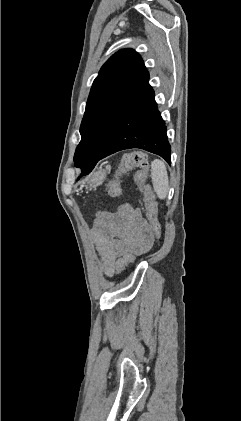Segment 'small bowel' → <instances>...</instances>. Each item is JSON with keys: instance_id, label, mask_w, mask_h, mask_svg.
I'll use <instances>...</instances> for the list:
<instances>
[{"instance_id": "c3829d8e", "label": "small bowel", "mask_w": 241, "mask_h": 421, "mask_svg": "<svg viewBox=\"0 0 241 421\" xmlns=\"http://www.w3.org/2000/svg\"><path fill=\"white\" fill-rule=\"evenodd\" d=\"M91 234L106 276L113 275L122 256L142 255L150 249L154 240V233L140 210L128 205L115 213H99Z\"/></svg>"}]
</instances>
